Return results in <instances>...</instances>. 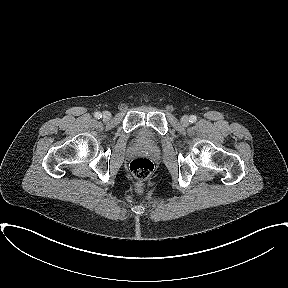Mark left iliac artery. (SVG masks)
Masks as SVG:
<instances>
[{
	"instance_id": "left-iliac-artery-1",
	"label": "left iliac artery",
	"mask_w": 288,
	"mask_h": 288,
	"mask_svg": "<svg viewBox=\"0 0 288 288\" xmlns=\"http://www.w3.org/2000/svg\"><path fill=\"white\" fill-rule=\"evenodd\" d=\"M196 120H197V117H196L195 115H191V116H190V120H189V121H190L191 123L196 122Z\"/></svg>"
}]
</instances>
